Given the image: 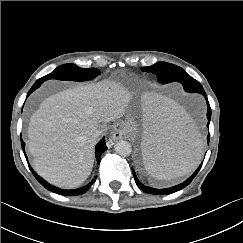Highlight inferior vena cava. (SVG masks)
Segmentation results:
<instances>
[{
  "instance_id": "602c4592",
  "label": "inferior vena cava",
  "mask_w": 243,
  "mask_h": 243,
  "mask_svg": "<svg viewBox=\"0 0 243 243\" xmlns=\"http://www.w3.org/2000/svg\"><path fill=\"white\" fill-rule=\"evenodd\" d=\"M102 132H103L102 130H97L93 133V136L98 138L102 134Z\"/></svg>"
}]
</instances>
